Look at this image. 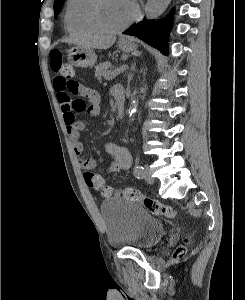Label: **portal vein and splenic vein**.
Returning <instances> with one entry per match:
<instances>
[{"label": "portal vein and splenic vein", "instance_id": "18ae733b", "mask_svg": "<svg viewBox=\"0 0 245 300\" xmlns=\"http://www.w3.org/2000/svg\"><path fill=\"white\" fill-rule=\"evenodd\" d=\"M124 70H125V66H121V67L115 69L114 71H112L110 73V78L109 79L114 78V77L120 75L121 73L124 72Z\"/></svg>", "mask_w": 245, "mask_h": 300}]
</instances>
